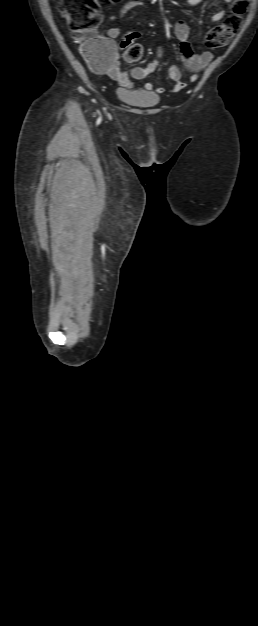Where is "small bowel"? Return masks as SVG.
<instances>
[{
    "label": "small bowel",
    "mask_w": 258,
    "mask_h": 626,
    "mask_svg": "<svg viewBox=\"0 0 258 626\" xmlns=\"http://www.w3.org/2000/svg\"><path fill=\"white\" fill-rule=\"evenodd\" d=\"M202 0H186L188 5L194 6L201 2ZM229 3L232 0H224ZM143 4L142 0H130L128 1L119 11L118 19H122L130 10L134 9ZM225 15L223 10H219L211 15V20L214 22L220 21ZM174 32L176 38L180 41V55L181 60L189 71L193 73H198L202 69H204L212 60V53L209 51H205L201 54L194 53L191 44L189 43V27L184 21H178L175 24ZM108 38L105 40V44L107 46H112V39L116 38L119 35V30L116 27L109 28L106 31ZM163 47H158L156 52L155 59L150 62L146 67H135L130 73L124 71L120 67V63L118 58L113 57L103 62L100 66L101 70L108 75L111 79L118 82L122 87L131 88L133 83L132 79L142 80L147 77L150 73L154 72L158 67L160 60L163 56ZM168 77L173 81V85L170 88V92L176 93L181 91L185 87V82L182 80L181 70L177 66H172L167 71ZM195 77V75H194ZM196 78V77H195ZM144 89L147 91L153 90V85L150 82H146L143 85ZM156 93L164 92L162 87L156 88L154 90Z\"/></svg>",
    "instance_id": "1"
}]
</instances>
